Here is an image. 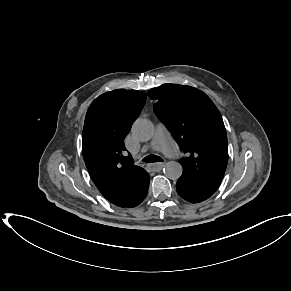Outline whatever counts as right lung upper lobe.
Here are the masks:
<instances>
[{"instance_id": "1", "label": "right lung upper lobe", "mask_w": 291, "mask_h": 291, "mask_svg": "<svg viewBox=\"0 0 291 291\" xmlns=\"http://www.w3.org/2000/svg\"><path fill=\"white\" fill-rule=\"evenodd\" d=\"M146 102V93L117 89L89 106L82 134L88 172L102 195L112 203H131L149 185V174L126 156L123 139Z\"/></svg>"}]
</instances>
